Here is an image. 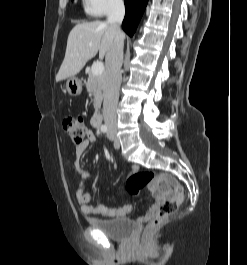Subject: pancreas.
<instances>
[{
  "instance_id": "obj_1",
  "label": "pancreas",
  "mask_w": 247,
  "mask_h": 265,
  "mask_svg": "<svg viewBox=\"0 0 247 265\" xmlns=\"http://www.w3.org/2000/svg\"><path fill=\"white\" fill-rule=\"evenodd\" d=\"M87 91L94 96L95 112H99L102 101L105 95V77L104 75H93L89 72V77L86 83Z\"/></svg>"
}]
</instances>
